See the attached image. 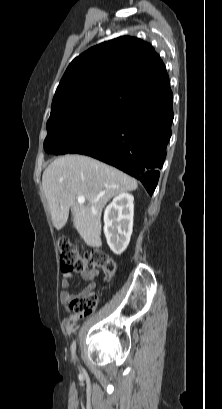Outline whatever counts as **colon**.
I'll list each match as a JSON object with an SVG mask.
<instances>
[{"mask_svg":"<svg viewBox=\"0 0 222 409\" xmlns=\"http://www.w3.org/2000/svg\"><path fill=\"white\" fill-rule=\"evenodd\" d=\"M60 268L62 272H86L101 268L107 280L111 279L116 271L112 258L99 250L80 254L74 243L62 238L58 243ZM70 310L75 318H83L91 314L97 306V296L93 292H85L73 298Z\"/></svg>","mask_w":222,"mask_h":409,"instance_id":"1","label":"colon"}]
</instances>
